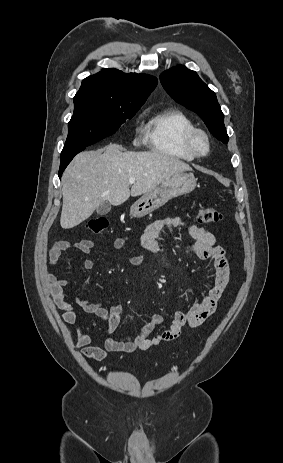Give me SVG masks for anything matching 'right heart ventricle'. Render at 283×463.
Masks as SVG:
<instances>
[{
  "label": "right heart ventricle",
  "instance_id": "obj_1",
  "mask_svg": "<svg viewBox=\"0 0 283 463\" xmlns=\"http://www.w3.org/2000/svg\"><path fill=\"white\" fill-rule=\"evenodd\" d=\"M195 128L182 110L166 108L154 113L144 127L145 141L157 154L190 161L195 155L189 150L186 139Z\"/></svg>",
  "mask_w": 283,
  "mask_h": 463
}]
</instances>
